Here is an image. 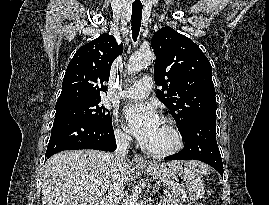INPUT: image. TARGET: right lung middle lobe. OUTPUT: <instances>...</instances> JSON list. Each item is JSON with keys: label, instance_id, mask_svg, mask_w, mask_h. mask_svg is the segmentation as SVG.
I'll list each match as a JSON object with an SVG mask.
<instances>
[{"label": "right lung middle lobe", "instance_id": "right-lung-middle-lobe-1", "mask_svg": "<svg viewBox=\"0 0 269 205\" xmlns=\"http://www.w3.org/2000/svg\"><path fill=\"white\" fill-rule=\"evenodd\" d=\"M101 100L74 103L56 107L55 120L83 119L101 124H110L109 110L100 104Z\"/></svg>", "mask_w": 269, "mask_h": 205}]
</instances>
